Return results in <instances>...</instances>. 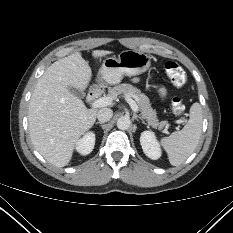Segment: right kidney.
<instances>
[{
	"instance_id": "1",
	"label": "right kidney",
	"mask_w": 233,
	"mask_h": 233,
	"mask_svg": "<svg viewBox=\"0 0 233 233\" xmlns=\"http://www.w3.org/2000/svg\"><path fill=\"white\" fill-rule=\"evenodd\" d=\"M95 145V134L93 132L86 133L76 144V150L81 155L89 154Z\"/></svg>"
}]
</instances>
